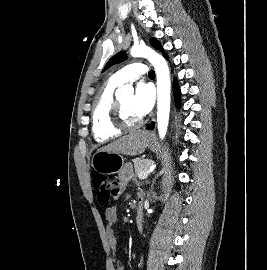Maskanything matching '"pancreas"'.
<instances>
[{"label": "pancreas", "mask_w": 267, "mask_h": 270, "mask_svg": "<svg viewBox=\"0 0 267 270\" xmlns=\"http://www.w3.org/2000/svg\"><path fill=\"white\" fill-rule=\"evenodd\" d=\"M134 162V168H135V173L138 177L140 175L144 174L149 170L151 165H153V161L149 159H143V158H136L133 160Z\"/></svg>", "instance_id": "1"}]
</instances>
